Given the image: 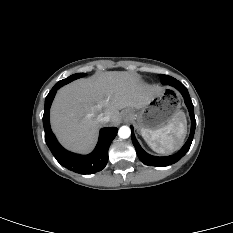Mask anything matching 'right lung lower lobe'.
Here are the masks:
<instances>
[{"instance_id":"right-lung-lower-lobe-1","label":"right lung lower lobe","mask_w":233,"mask_h":233,"mask_svg":"<svg viewBox=\"0 0 233 233\" xmlns=\"http://www.w3.org/2000/svg\"><path fill=\"white\" fill-rule=\"evenodd\" d=\"M62 84H56L45 99L43 125L45 141L56 160L69 170L80 174H93L101 171L108 161V149L117 134V128H103L100 130L99 141L94 151L88 155H79L65 150L57 141L50 128L49 110L56 91Z\"/></svg>"}]
</instances>
